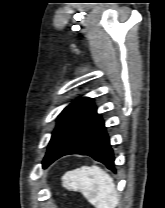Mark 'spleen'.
<instances>
[{
    "label": "spleen",
    "instance_id": "1",
    "mask_svg": "<svg viewBox=\"0 0 165 208\" xmlns=\"http://www.w3.org/2000/svg\"><path fill=\"white\" fill-rule=\"evenodd\" d=\"M62 186L79 191L96 208H115L119 202L113 179L98 166H82L66 172Z\"/></svg>",
    "mask_w": 165,
    "mask_h": 208
}]
</instances>
